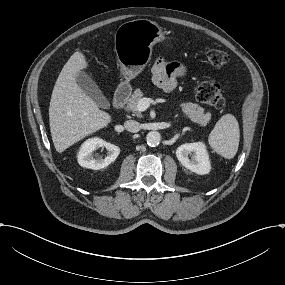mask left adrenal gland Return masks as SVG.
Segmentation results:
<instances>
[{
	"label": "left adrenal gland",
	"mask_w": 285,
	"mask_h": 285,
	"mask_svg": "<svg viewBox=\"0 0 285 285\" xmlns=\"http://www.w3.org/2000/svg\"><path fill=\"white\" fill-rule=\"evenodd\" d=\"M178 122V120H174L173 123Z\"/></svg>",
	"instance_id": "obj_1"
}]
</instances>
